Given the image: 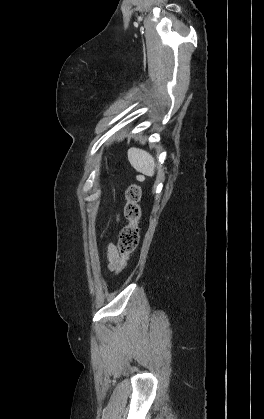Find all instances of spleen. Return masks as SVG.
<instances>
[{"mask_svg": "<svg viewBox=\"0 0 264 419\" xmlns=\"http://www.w3.org/2000/svg\"><path fill=\"white\" fill-rule=\"evenodd\" d=\"M128 160L136 171L146 176L154 175L155 161L147 151L132 147L128 150Z\"/></svg>", "mask_w": 264, "mask_h": 419, "instance_id": "obj_1", "label": "spleen"}]
</instances>
